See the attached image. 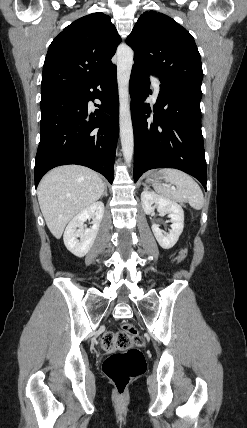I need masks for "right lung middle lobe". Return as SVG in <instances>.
I'll use <instances>...</instances> for the list:
<instances>
[{
    "instance_id": "obj_1",
    "label": "right lung middle lobe",
    "mask_w": 247,
    "mask_h": 428,
    "mask_svg": "<svg viewBox=\"0 0 247 428\" xmlns=\"http://www.w3.org/2000/svg\"><path fill=\"white\" fill-rule=\"evenodd\" d=\"M68 91H75V90H68ZM68 91H61V92H68ZM61 92H56V93H61ZM52 94V93H51ZM43 96V95H42Z\"/></svg>"
}]
</instances>
